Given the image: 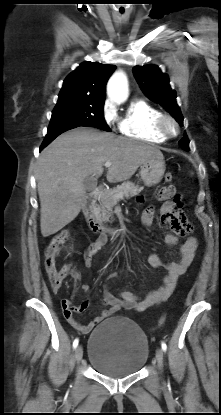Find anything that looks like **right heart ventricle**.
<instances>
[{"label":"right heart ventricle","instance_id":"right-heart-ventricle-1","mask_svg":"<svg viewBox=\"0 0 221 415\" xmlns=\"http://www.w3.org/2000/svg\"><path fill=\"white\" fill-rule=\"evenodd\" d=\"M162 112L148 102L136 99L119 119L118 128L122 135L136 140L160 144L167 140L156 129V120Z\"/></svg>","mask_w":221,"mask_h":415}]
</instances>
